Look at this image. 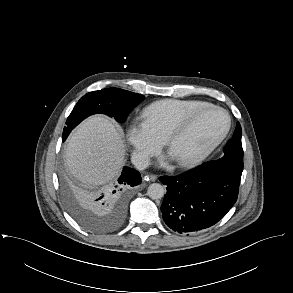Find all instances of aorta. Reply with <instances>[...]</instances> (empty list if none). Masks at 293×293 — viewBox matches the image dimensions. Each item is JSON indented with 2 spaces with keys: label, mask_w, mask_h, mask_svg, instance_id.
<instances>
[{
  "label": "aorta",
  "mask_w": 293,
  "mask_h": 293,
  "mask_svg": "<svg viewBox=\"0 0 293 293\" xmlns=\"http://www.w3.org/2000/svg\"><path fill=\"white\" fill-rule=\"evenodd\" d=\"M165 194L164 187L159 183H152L148 186L147 195L154 200L161 199Z\"/></svg>",
  "instance_id": "762f6f07"
}]
</instances>
